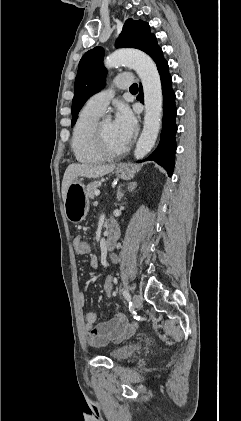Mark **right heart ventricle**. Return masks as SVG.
Returning a JSON list of instances; mask_svg holds the SVG:
<instances>
[{"label": "right heart ventricle", "instance_id": "obj_1", "mask_svg": "<svg viewBox=\"0 0 241 421\" xmlns=\"http://www.w3.org/2000/svg\"><path fill=\"white\" fill-rule=\"evenodd\" d=\"M101 113L87 105L80 111L73 128L71 149L77 161L84 164L99 163L104 157L98 152L94 142V132Z\"/></svg>", "mask_w": 241, "mask_h": 421}]
</instances>
